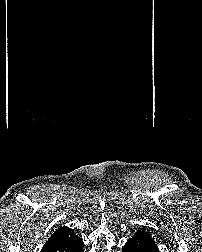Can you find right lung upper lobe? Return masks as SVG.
<instances>
[{"instance_id":"cb5924a9","label":"right lung upper lobe","mask_w":202,"mask_h":252,"mask_svg":"<svg viewBox=\"0 0 202 252\" xmlns=\"http://www.w3.org/2000/svg\"><path fill=\"white\" fill-rule=\"evenodd\" d=\"M82 242L72 229L60 227L45 243L42 252H74Z\"/></svg>"}]
</instances>
